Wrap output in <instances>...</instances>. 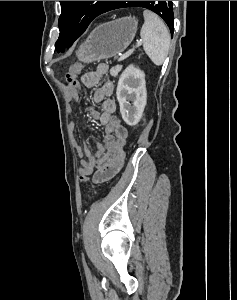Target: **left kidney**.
Masks as SVG:
<instances>
[{
	"instance_id": "5707ae66",
	"label": "left kidney",
	"mask_w": 237,
	"mask_h": 300,
	"mask_svg": "<svg viewBox=\"0 0 237 300\" xmlns=\"http://www.w3.org/2000/svg\"><path fill=\"white\" fill-rule=\"evenodd\" d=\"M116 95L123 121L126 125L135 127L139 123L147 103L145 73L136 69L134 65H129L118 81Z\"/></svg>"
}]
</instances>
